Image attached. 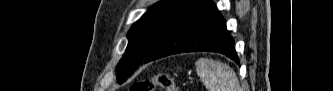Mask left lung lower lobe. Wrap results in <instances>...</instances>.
I'll return each instance as SVG.
<instances>
[{
  "label": "left lung lower lobe",
  "instance_id": "0a47b994",
  "mask_svg": "<svg viewBox=\"0 0 333 91\" xmlns=\"http://www.w3.org/2000/svg\"><path fill=\"white\" fill-rule=\"evenodd\" d=\"M203 51L221 53L239 63L225 20L210 0H198L165 34L145 62Z\"/></svg>",
  "mask_w": 333,
  "mask_h": 91
}]
</instances>
